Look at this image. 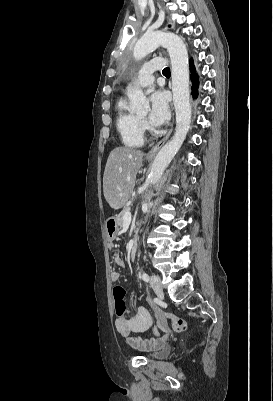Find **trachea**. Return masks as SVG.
<instances>
[{"label":"trachea","instance_id":"3493384b","mask_svg":"<svg viewBox=\"0 0 273 401\" xmlns=\"http://www.w3.org/2000/svg\"><path fill=\"white\" fill-rule=\"evenodd\" d=\"M162 73L163 74H170V68L169 67L164 68Z\"/></svg>","mask_w":273,"mask_h":401}]
</instances>
